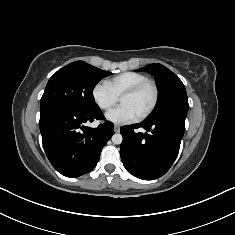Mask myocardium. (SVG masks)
I'll return each mask as SVG.
<instances>
[{
	"label": "myocardium",
	"mask_w": 235,
	"mask_h": 235,
	"mask_svg": "<svg viewBox=\"0 0 235 235\" xmlns=\"http://www.w3.org/2000/svg\"><path fill=\"white\" fill-rule=\"evenodd\" d=\"M147 87L151 88L152 90V100L147 109L141 115H139L140 119H145L146 117H148L157 106L159 99V89L157 84L154 81L148 79L125 90L121 95V97L136 95Z\"/></svg>",
	"instance_id": "f54148a6"
}]
</instances>
